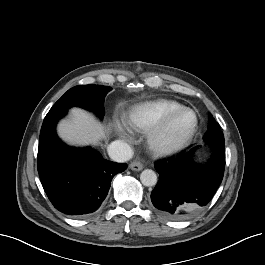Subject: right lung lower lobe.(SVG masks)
Returning a JSON list of instances; mask_svg holds the SVG:
<instances>
[{"label": "right lung lower lobe", "instance_id": "obj_1", "mask_svg": "<svg viewBox=\"0 0 265 265\" xmlns=\"http://www.w3.org/2000/svg\"><path fill=\"white\" fill-rule=\"evenodd\" d=\"M67 110L49 111L44 118L38 149V173L42 186L60 212L84 217L104 201L112 178L126 170V164L103 159L89 148L64 144L56 135L57 121Z\"/></svg>", "mask_w": 265, "mask_h": 265}]
</instances>
